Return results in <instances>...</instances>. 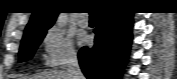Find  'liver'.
Returning <instances> with one entry per match:
<instances>
[{"label":"liver","mask_w":177,"mask_h":79,"mask_svg":"<svg viewBox=\"0 0 177 79\" xmlns=\"http://www.w3.org/2000/svg\"><path fill=\"white\" fill-rule=\"evenodd\" d=\"M20 79H68V75L64 70H50L41 74L23 76Z\"/></svg>","instance_id":"1"}]
</instances>
